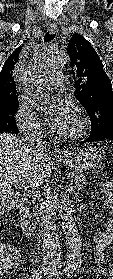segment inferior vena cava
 <instances>
[{
  "mask_svg": "<svg viewBox=\"0 0 113 279\" xmlns=\"http://www.w3.org/2000/svg\"><path fill=\"white\" fill-rule=\"evenodd\" d=\"M28 147L39 156L46 151V144L42 135L36 130L28 137ZM41 187L42 193L39 205V214L41 217V233L43 239V269L47 274L58 275L61 269V252L56 225L54 223V214L52 202L50 201V190L47 185Z\"/></svg>",
  "mask_w": 113,
  "mask_h": 279,
  "instance_id": "inferior-vena-cava-1",
  "label": "inferior vena cava"
}]
</instances>
